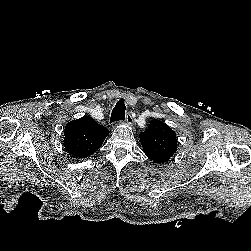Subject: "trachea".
<instances>
[{"label": "trachea", "instance_id": "obj_1", "mask_svg": "<svg viewBox=\"0 0 251 251\" xmlns=\"http://www.w3.org/2000/svg\"><path fill=\"white\" fill-rule=\"evenodd\" d=\"M125 108L126 107H125L124 101L119 100L112 110L110 121L115 122V121L124 120Z\"/></svg>", "mask_w": 251, "mask_h": 251}]
</instances>
